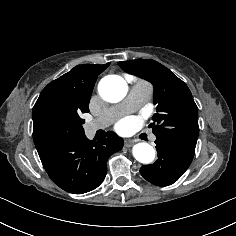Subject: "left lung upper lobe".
<instances>
[{"instance_id":"1","label":"left lung upper lobe","mask_w":236,"mask_h":236,"mask_svg":"<svg viewBox=\"0 0 236 236\" xmlns=\"http://www.w3.org/2000/svg\"><path fill=\"white\" fill-rule=\"evenodd\" d=\"M127 73L150 81L154 86L157 113L150 124L159 139L167 137L196 143L199 134L198 108L187 85L168 68L151 59L121 61Z\"/></svg>"}]
</instances>
